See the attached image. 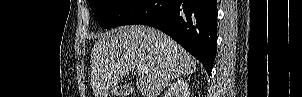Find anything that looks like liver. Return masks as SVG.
Wrapping results in <instances>:
<instances>
[{"mask_svg": "<svg viewBox=\"0 0 302 97\" xmlns=\"http://www.w3.org/2000/svg\"><path fill=\"white\" fill-rule=\"evenodd\" d=\"M138 65L148 71L136 79L143 97H158L170 81L196 71L195 59L165 33L141 25L101 34L91 52V84L95 97L111 89Z\"/></svg>", "mask_w": 302, "mask_h": 97, "instance_id": "obj_1", "label": "liver"}]
</instances>
